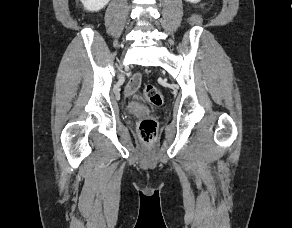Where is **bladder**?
Segmentation results:
<instances>
[{
  "mask_svg": "<svg viewBox=\"0 0 292 228\" xmlns=\"http://www.w3.org/2000/svg\"><path fill=\"white\" fill-rule=\"evenodd\" d=\"M127 111L131 114L137 115L147 113L148 109L139 103L131 102L127 106Z\"/></svg>",
  "mask_w": 292,
  "mask_h": 228,
  "instance_id": "obj_1",
  "label": "bladder"
}]
</instances>
